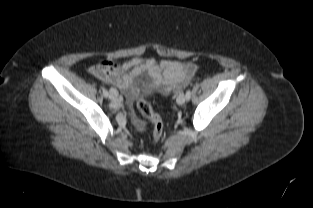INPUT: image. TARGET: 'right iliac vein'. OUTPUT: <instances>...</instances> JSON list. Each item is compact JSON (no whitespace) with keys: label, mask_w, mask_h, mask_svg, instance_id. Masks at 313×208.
Masks as SVG:
<instances>
[{"label":"right iliac vein","mask_w":313,"mask_h":208,"mask_svg":"<svg viewBox=\"0 0 313 208\" xmlns=\"http://www.w3.org/2000/svg\"><path fill=\"white\" fill-rule=\"evenodd\" d=\"M117 97H118V92L115 88H110L109 90V98L115 103L117 104Z\"/></svg>","instance_id":"63e3f726"}]
</instances>
